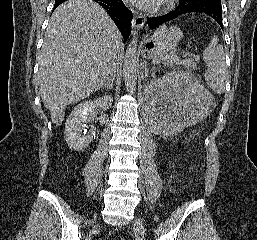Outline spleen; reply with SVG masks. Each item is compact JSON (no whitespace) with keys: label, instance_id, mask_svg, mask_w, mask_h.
Here are the masks:
<instances>
[{"label":"spleen","instance_id":"obj_1","mask_svg":"<svg viewBox=\"0 0 257 240\" xmlns=\"http://www.w3.org/2000/svg\"><path fill=\"white\" fill-rule=\"evenodd\" d=\"M218 41V37L214 35L203 52V60L207 66L204 78L215 93L222 94L227 82V69L223 47L218 45Z\"/></svg>","mask_w":257,"mask_h":240}]
</instances>
